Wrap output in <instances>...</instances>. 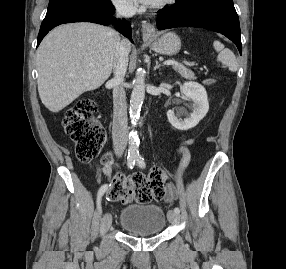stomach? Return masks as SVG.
<instances>
[{"label":"stomach","instance_id":"obj_1","mask_svg":"<svg viewBox=\"0 0 286 269\" xmlns=\"http://www.w3.org/2000/svg\"><path fill=\"white\" fill-rule=\"evenodd\" d=\"M144 40L153 51L168 56L177 54L181 47V40L174 32H167L161 36L145 37Z\"/></svg>","mask_w":286,"mask_h":269}]
</instances>
